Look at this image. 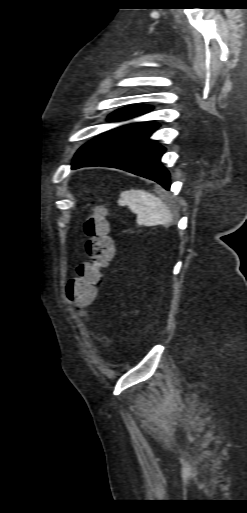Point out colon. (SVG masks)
Listing matches in <instances>:
<instances>
[{"mask_svg": "<svg viewBox=\"0 0 247 513\" xmlns=\"http://www.w3.org/2000/svg\"><path fill=\"white\" fill-rule=\"evenodd\" d=\"M82 231L86 237L88 261L77 266L64 291L67 300L76 307H82L94 299L103 281L102 270L113 254L110 225L103 210L89 215L82 225Z\"/></svg>", "mask_w": 247, "mask_h": 513, "instance_id": "1", "label": "colon"}]
</instances>
